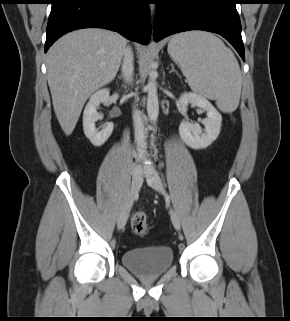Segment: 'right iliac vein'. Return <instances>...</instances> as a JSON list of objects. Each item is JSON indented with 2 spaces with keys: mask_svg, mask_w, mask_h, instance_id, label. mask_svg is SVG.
I'll return each instance as SVG.
<instances>
[{
  "mask_svg": "<svg viewBox=\"0 0 290 321\" xmlns=\"http://www.w3.org/2000/svg\"><path fill=\"white\" fill-rule=\"evenodd\" d=\"M141 173H142V168L140 167V165H135L133 167L131 187L127 196V200L117 221L118 230L123 229L128 220L130 208L134 200L136 199L138 191L142 184Z\"/></svg>",
  "mask_w": 290,
  "mask_h": 321,
  "instance_id": "obj_1",
  "label": "right iliac vein"
}]
</instances>
